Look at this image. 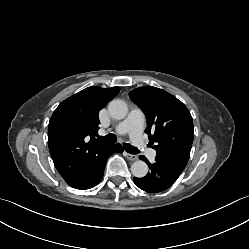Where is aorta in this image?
<instances>
[{"instance_id": "obj_1", "label": "aorta", "mask_w": 249, "mask_h": 249, "mask_svg": "<svg viewBox=\"0 0 249 249\" xmlns=\"http://www.w3.org/2000/svg\"><path fill=\"white\" fill-rule=\"evenodd\" d=\"M108 112L112 118L121 120L126 117L128 107L124 101L116 99L109 103ZM131 172L133 176L143 178L148 173V165L142 160H137L131 165Z\"/></svg>"}]
</instances>
